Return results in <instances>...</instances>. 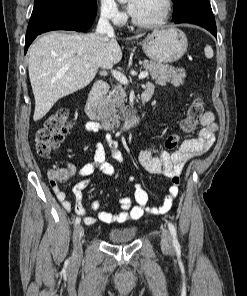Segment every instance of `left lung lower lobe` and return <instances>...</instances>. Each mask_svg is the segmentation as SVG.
<instances>
[{"label": "left lung lower lobe", "instance_id": "1", "mask_svg": "<svg viewBox=\"0 0 247 296\" xmlns=\"http://www.w3.org/2000/svg\"><path fill=\"white\" fill-rule=\"evenodd\" d=\"M173 21L175 23L199 25L207 29L217 38L215 18L209 0L195 1L183 12L173 15Z\"/></svg>", "mask_w": 247, "mask_h": 296}]
</instances>
